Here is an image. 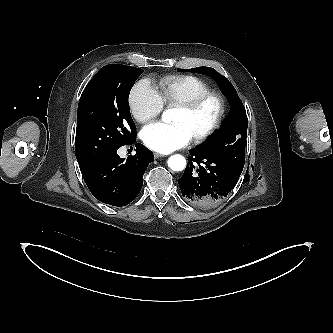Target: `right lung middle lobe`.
Instances as JSON below:
<instances>
[{
  "label": "right lung middle lobe",
  "mask_w": 333,
  "mask_h": 333,
  "mask_svg": "<svg viewBox=\"0 0 333 333\" xmlns=\"http://www.w3.org/2000/svg\"><path fill=\"white\" fill-rule=\"evenodd\" d=\"M140 68L102 67L85 87L78 104L75 152L79 167L128 144L136 127L128 97Z\"/></svg>",
  "instance_id": "right-lung-middle-lobe-1"
}]
</instances>
